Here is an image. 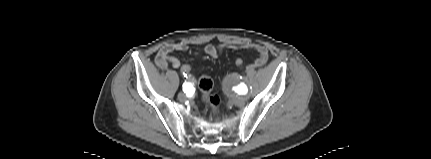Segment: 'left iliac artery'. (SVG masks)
<instances>
[{"mask_svg":"<svg viewBox=\"0 0 431 159\" xmlns=\"http://www.w3.org/2000/svg\"><path fill=\"white\" fill-rule=\"evenodd\" d=\"M240 93L245 94L247 92V87L244 84L239 85Z\"/></svg>","mask_w":431,"mask_h":159,"instance_id":"obj_1","label":"left iliac artery"}]
</instances>
